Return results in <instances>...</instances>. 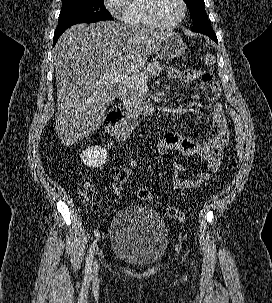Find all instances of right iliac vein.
Returning <instances> with one entry per match:
<instances>
[{"label": "right iliac vein", "instance_id": "1", "mask_svg": "<svg viewBox=\"0 0 272 303\" xmlns=\"http://www.w3.org/2000/svg\"><path fill=\"white\" fill-rule=\"evenodd\" d=\"M97 273H98V263L95 261L94 266H93V269H92V271H91V277L96 276Z\"/></svg>", "mask_w": 272, "mask_h": 303}]
</instances>
